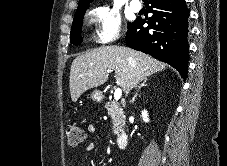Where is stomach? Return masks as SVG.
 Returning <instances> with one entry per match:
<instances>
[{"mask_svg": "<svg viewBox=\"0 0 227 166\" xmlns=\"http://www.w3.org/2000/svg\"><path fill=\"white\" fill-rule=\"evenodd\" d=\"M103 98H104L103 93L99 90H94L91 93V99L95 102H101Z\"/></svg>", "mask_w": 227, "mask_h": 166, "instance_id": "stomach-1", "label": "stomach"}]
</instances>
